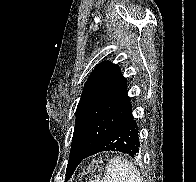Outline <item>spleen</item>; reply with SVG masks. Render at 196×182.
<instances>
[{"instance_id": "1", "label": "spleen", "mask_w": 196, "mask_h": 182, "mask_svg": "<svg viewBox=\"0 0 196 182\" xmlns=\"http://www.w3.org/2000/svg\"><path fill=\"white\" fill-rule=\"evenodd\" d=\"M91 182H142V180L132 163L120 156H116L108 162L104 178Z\"/></svg>"}]
</instances>
